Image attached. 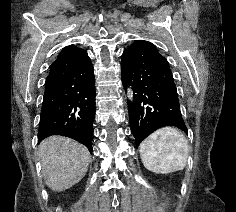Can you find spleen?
<instances>
[{"instance_id": "3e777b00", "label": "spleen", "mask_w": 236, "mask_h": 212, "mask_svg": "<svg viewBox=\"0 0 236 212\" xmlns=\"http://www.w3.org/2000/svg\"><path fill=\"white\" fill-rule=\"evenodd\" d=\"M188 150L186 138L174 127L155 131L140 145L143 165L158 174L182 170L187 163Z\"/></svg>"}]
</instances>
